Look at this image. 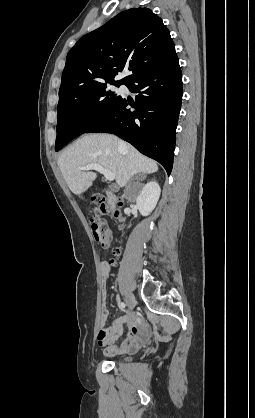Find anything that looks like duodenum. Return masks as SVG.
<instances>
[{"label":"duodenum","instance_id":"1","mask_svg":"<svg viewBox=\"0 0 255 418\" xmlns=\"http://www.w3.org/2000/svg\"><path fill=\"white\" fill-rule=\"evenodd\" d=\"M106 194H107L108 200L113 205L115 203V200H116L115 196L111 192H108V191L106 192Z\"/></svg>","mask_w":255,"mask_h":418}]
</instances>
